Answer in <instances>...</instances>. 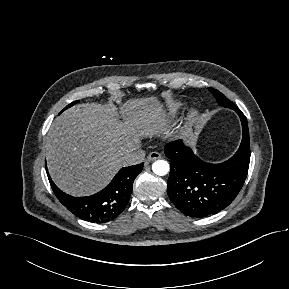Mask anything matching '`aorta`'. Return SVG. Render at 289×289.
Wrapping results in <instances>:
<instances>
[{
    "mask_svg": "<svg viewBox=\"0 0 289 289\" xmlns=\"http://www.w3.org/2000/svg\"><path fill=\"white\" fill-rule=\"evenodd\" d=\"M152 170L159 176H164L169 172V164L165 160H157L152 165Z\"/></svg>",
    "mask_w": 289,
    "mask_h": 289,
    "instance_id": "obj_1",
    "label": "aorta"
}]
</instances>
